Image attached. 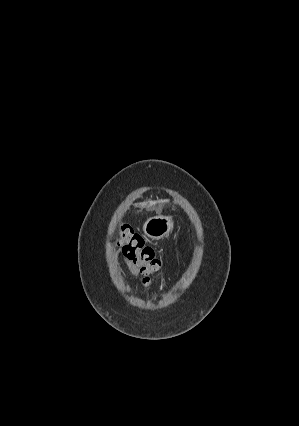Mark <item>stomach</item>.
Here are the masks:
<instances>
[{
	"instance_id": "1",
	"label": "stomach",
	"mask_w": 299,
	"mask_h": 426,
	"mask_svg": "<svg viewBox=\"0 0 299 426\" xmlns=\"http://www.w3.org/2000/svg\"><path fill=\"white\" fill-rule=\"evenodd\" d=\"M174 222L171 216L158 214L148 218L142 227L143 233L146 237L152 240H159L173 230Z\"/></svg>"
}]
</instances>
